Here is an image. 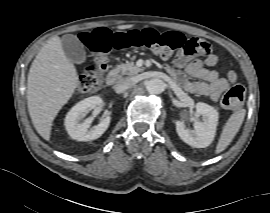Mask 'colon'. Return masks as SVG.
I'll return each mask as SVG.
<instances>
[{
	"label": "colon",
	"mask_w": 270,
	"mask_h": 213,
	"mask_svg": "<svg viewBox=\"0 0 270 213\" xmlns=\"http://www.w3.org/2000/svg\"><path fill=\"white\" fill-rule=\"evenodd\" d=\"M81 42L87 49L91 64L79 75L78 87L81 92H95L103 88L104 76L108 70V52L112 49L127 47H146L162 58L176 52L193 56L204 52L206 43L198 38H185L174 31H156L148 28L128 32L111 33L100 27L81 35ZM230 81L236 79V73H227ZM244 87L233 85L222 97L221 106L225 109H238L244 99Z\"/></svg>",
	"instance_id": "1"
}]
</instances>
